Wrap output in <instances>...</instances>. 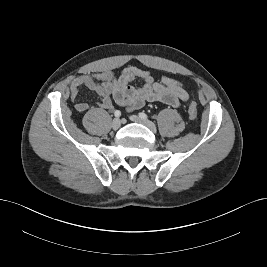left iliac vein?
<instances>
[{"label": "left iliac vein", "instance_id": "left-iliac-vein-1", "mask_svg": "<svg viewBox=\"0 0 267 267\" xmlns=\"http://www.w3.org/2000/svg\"><path fill=\"white\" fill-rule=\"evenodd\" d=\"M130 119L133 122H136V123H140V124L145 125L146 127H148L154 133L157 131V128H156L155 124L153 122L149 121V120L141 119L140 117H138L136 115H132L130 117Z\"/></svg>", "mask_w": 267, "mask_h": 267}]
</instances>
